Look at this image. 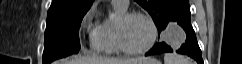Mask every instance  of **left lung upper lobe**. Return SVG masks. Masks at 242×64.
<instances>
[{
    "label": "left lung upper lobe",
    "mask_w": 242,
    "mask_h": 64,
    "mask_svg": "<svg viewBox=\"0 0 242 64\" xmlns=\"http://www.w3.org/2000/svg\"><path fill=\"white\" fill-rule=\"evenodd\" d=\"M153 18L159 34L170 21L190 14L189 0H135Z\"/></svg>",
    "instance_id": "1"
}]
</instances>
